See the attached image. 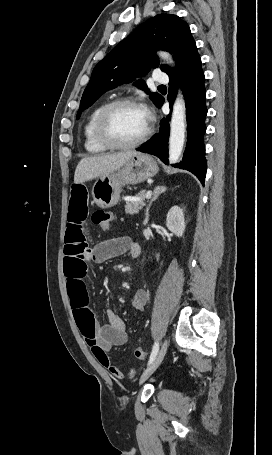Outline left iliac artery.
Masks as SVG:
<instances>
[{
	"label": "left iliac artery",
	"instance_id": "left-iliac-artery-1",
	"mask_svg": "<svg viewBox=\"0 0 272 455\" xmlns=\"http://www.w3.org/2000/svg\"><path fill=\"white\" fill-rule=\"evenodd\" d=\"M158 351H159V344H158V342H155V344L153 346V349H152V352H151V355H150V359H149L148 365H150L153 362V360L155 359Z\"/></svg>",
	"mask_w": 272,
	"mask_h": 455
}]
</instances>
